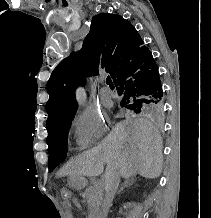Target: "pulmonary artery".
<instances>
[{
    "label": "pulmonary artery",
    "mask_w": 211,
    "mask_h": 218,
    "mask_svg": "<svg viewBox=\"0 0 211 218\" xmlns=\"http://www.w3.org/2000/svg\"><path fill=\"white\" fill-rule=\"evenodd\" d=\"M101 96L103 98H111L114 96V92L108 86H104L101 89Z\"/></svg>",
    "instance_id": "e3ab8cb5"
}]
</instances>
